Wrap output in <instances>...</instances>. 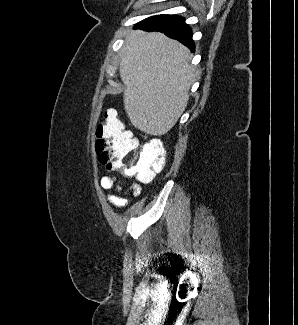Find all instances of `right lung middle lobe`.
Listing matches in <instances>:
<instances>
[{
	"instance_id": "dd1d6c3e",
	"label": "right lung middle lobe",
	"mask_w": 298,
	"mask_h": 325,
	"mask_svg": "<svg viewBox=\"0 0 298 325\" xmlns=\"http://www.w3.org/2000/svg\"><path fill=\"white\" fill-rule=\"evenodd\" d=\"M160 16H164V15L153 16V17H150V18H148V19H153V18H157V17H160Z\"/></svg>"
}]
</instances>
